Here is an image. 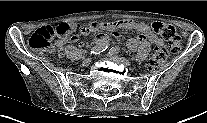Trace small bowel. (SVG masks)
Listing matches in <instances>:
<instances>
[{
  "label": "small bowel",
  "mask_w": 207,
  "mask_h": 123,
  "mask_svg": "<svg viewBox=\"0 0 207 123\" xmlns=\"http://www.w3.org/2000/svg\"><path fill=\"white\" fill-rule=\"evenodd\" d=\"M118 29H124L130 32H135L138 34L136 38H131L127 41V47L131 51H136L140 46L144 45L146 40L150 43L160 47L163 45V40L155 34L151 28L144 22H135L130 19H123L113 22H93L88 26H84L80 29V34L88 35L90 33H98L95 38L96 44H102L108 42V36L102 31H115ZM77 36L71 40L70 42L76 41ZM65 41L58 40L56 45L60 49V54L63 55V46Z\"/></svg>",
  "instance_id": "small-bowel-1"
}]
</instances>
